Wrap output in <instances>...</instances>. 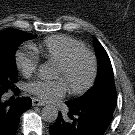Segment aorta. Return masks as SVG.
Returning a JSON list of instances; mask_svg holds the SVG:
<instances>
[{"label":"aorta","instance_id":"aorta-1","mask_svg":"<svg viewBox=\"0 0 135 135\" xmlns=\"http://www.w3.org/2000/svg\"><path fill=\"white\" fill-rule=\"evenodd\" d=\"M39 76L43 79H53L54 70L49 64H42L38 69ZM58 117V110L54 106H45L42 109V118L44 121L52 123L55 122Z\"/></svg>","mask_w":135,"mask_h":135}]
</instances>
